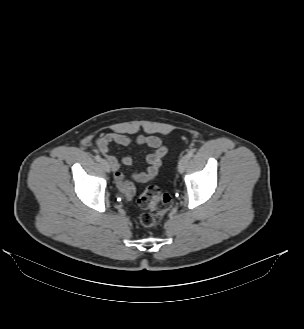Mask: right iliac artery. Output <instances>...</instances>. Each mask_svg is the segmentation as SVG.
Wrapping results in <instances>:
<instances>
[{"instance_id": "right-iliac-artery-1", "label": "right iliac artery", "mask_w": 304, "mask_h": 329, "mask_svg": "<svg viewBox=\"0 0 304 329\" xmlns=\"http://www.w3.org/2000/svg\"><path fill=\"white\" fill-rule=\"evenodd\" d=\"M95 160L99 162V161H101V157L99 155H96Z\"/></svg>"}]
</instances>
